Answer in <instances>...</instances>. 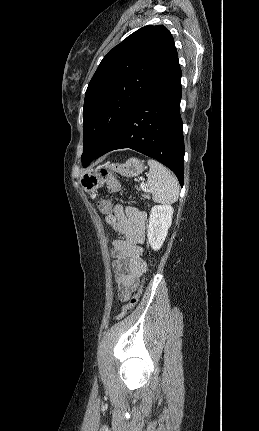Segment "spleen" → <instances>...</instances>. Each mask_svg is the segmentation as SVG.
<instances>
[{
  "label": "spleen",
  "instance_id": "1",
  "mask_svg": "<svg viewBox=\"0 0 259 431\" xmlns=\"http://www.w3.org/2000/svg\"><path fill=\"white\" fill-rule=\"evenodd\" d=\"M150 167L147 186L155 202L172 204L179 198V184L176 177L164 165L154 159L148 160Z\"/></svg>",
  "mask_w": 259,
  "mask_h": 431
}]
</instances>
